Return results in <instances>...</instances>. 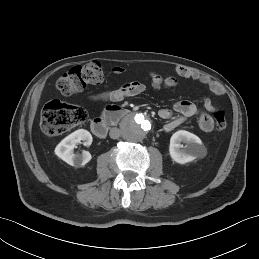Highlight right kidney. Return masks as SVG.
<instances>
[{
  "mask_svg": "<svg viewBox=\"0 0 259 259\" xmlns=\"http://www.w3.org/2000/svg\"><path fill=\"white\" fill-rule=\"evenodd\" d=\"M85 146H90L92 143V135L84 129H79L65 137L55 148V154L65 161L67 164L75 167H81L87 164L92 156L88 151H83L81 154L73 152L77 143Z\"/></svg>",
  "mask_w": 259,
  "mask_h": 259,
  "instance_id": "right-kidney-1",
  "label": "right kidney"
}]
</instances>
